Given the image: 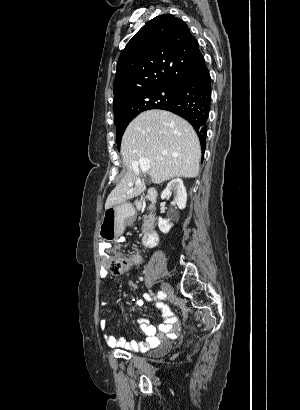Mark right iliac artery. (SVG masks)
<instances>
[{
    "instance_id": "obj_1",
    "label": "right iliac artery",
    "mask_w": 300,
    "mask_h": 410,
    "mask_svg": "<svg viewBox=\"0 0 300 410\" xmlns=\"http://www.w3.org/2000/svg\"><path fill=\"white\" fill-rule=\"evenodd\" d=\"M145 296H148V297H149V295H146V294H145ZM157 297H158L159 299H164V298L166 297V294H165L164 292H162V291H159L158 294H157Z\"/></svg>"
}]
</instances>
